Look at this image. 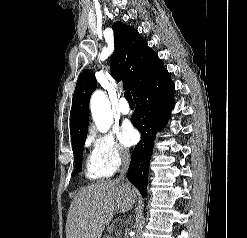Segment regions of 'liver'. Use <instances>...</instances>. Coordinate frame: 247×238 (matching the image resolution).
<instances>
[{
    "instance_id": "6515ba94",
    "label": "liver",
    "mask_w": 247,
    "mask_h": 238,
    "mask_svg": "<svg viewBox=\"0 0 247 238\" xmlns=\"http://www.w3.org/2000/svg\"><path fill=\"white\" fill-rule=\"evenodd\" d=\"M136 202V191L119 181L102 180L81 189L70 205L66 238H101L114 213L126 212Z\"/></svg>"
}]
</instances>
